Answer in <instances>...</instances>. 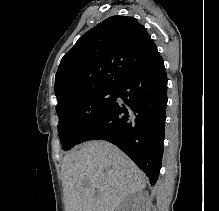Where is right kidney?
Instances as JSON below:
<instances>
[{
  "mask_svg": "<svg viewBox=\"0 0 219 211\" xmlns=\"http://www.w3.org/2000/svg\"><path fill=\"white\" fill-rule=\"evenodd\" d=\"M139 201H142V195H140L139 199L138 197H136V195H130L126 203H124V207H127V205H131V207H136V203H139Z\"/></svg>",
  "mask_w": 219,
  "mask_h": 211,
  "instance_id": "obj_1",
  "label": "right kidney"
}]
</instances>
